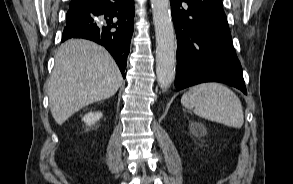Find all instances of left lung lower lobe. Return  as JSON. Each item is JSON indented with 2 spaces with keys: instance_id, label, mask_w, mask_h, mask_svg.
Instances as JSON below:
<instances>
[{
  "instance_id": "0a47b994",
  "label": "left lung lower lobe",
  "mask_w": 293,
  "mask_h": 184,
  "mask_svg": "<svg viewBox=\"0 0 293 184\" xmlns=\"http://www.w3.org/2000/svg\"><path fill=\"white\" fill-rule=\"evenodd\" d=\"M177 36L178 90L222 82L247 94L222 0H170Z\"/></svg>"
}]
</instances>
